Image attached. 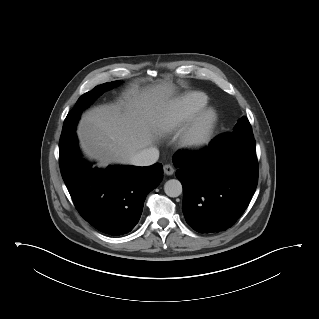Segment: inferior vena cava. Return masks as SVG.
<instances>
[{"label": "inferior vena cava", "mask_w": 319, "mask_h": 319, "mask_svg": "<svg viewBox=\"0 0 319 319\" xmlns=\"http://www.w3.org/2000/svg\"><path fill=\"white\" fill-rule=\"evenodd\" d=\"M158 158L159 150L155 147H149L136 153L130 159V164L134 166H149L157 162Z\"/></svg>", "instance_id": "602c4592"}]
</instances>
